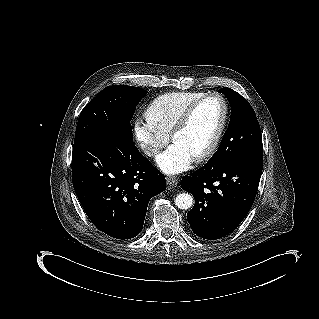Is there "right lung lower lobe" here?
Instances as JSON below:
<instances>
[{
    "mask_svg": "<svg viewBox=\"0 0 319 319\" xmlns=\"http://www.w3.org/2000/svg\"><path fill=\"white\" fill-rule=\"evenodd\" d=\"M72 181L92 223L122 240L141 232L149 200L166 188L164 175L134 145L112 137L73 146Z\"/></svg>",
    "mask_w": 319,
    "mask_h": 319,
    "instance_id": "right-lung-lower-lobe-1",
    "label": "right lung lower lobe"
}]
</instances>
